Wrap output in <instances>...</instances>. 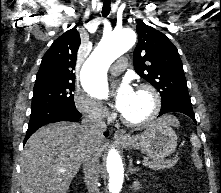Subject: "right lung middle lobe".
I'll use <instances>...</instances> for the list:
<instances>
[{
	"instance_id": "right-lung-middle-lobe-1",
	"label": "right lung middle lobe",
	"mask_w": 221,
	"mask_h": 193,
	"mask_svg": "<svg viewBox=\"0 0 221 193\" xmlns=\"http://www.w3.org/2000/svg\"><path fill=\"white\" fill-rule=\"evenodd\" d=\"M73 91L74 82L35 84L31 111L54 105L75 108Z\"/></svg>"
}]
</instances>
